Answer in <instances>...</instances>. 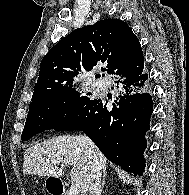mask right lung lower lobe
Listing matches in <instances>:
<instances>
[{
	"label": "right lung lower lobe",
	"instance_id": "1",
	"mask_svg": "<svg viewBox=\"0 0 189 195\" xmlns=\"http://www.w3.org/2000/svg\"><path fill=\"white\" fill-rule=\"evenodd\" d=\"M143 68L115 75L120 94L113 100V107H106L107 101L101 99L90 100L55 130L83 131L111 162L142 175L143 151L147 146L145 133L150 128L153 111L148 75Z\"/></svg>",
	"mask_w": 189,
	"mask_h": 195
}]
</instances>
